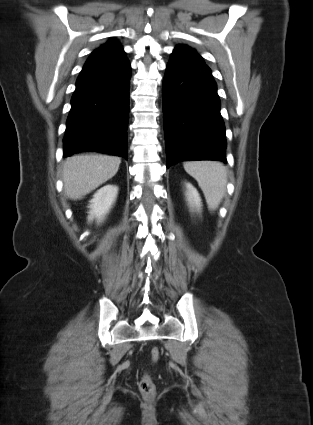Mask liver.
Segmentation results:
<instances>
[{
  "label": "liver",
  "mask_w": 313,
  "mask_h": 425,
  "mask_svg": "<svg viewBox=\"0 0 313 425\" xmlns=\"http://www.w3.org/2000/svg\"><path fill=\"white\" fill-rule=\"evenodd\" d=\"M121 159L115 156L86 154L67 158L63 166L64 190L68 198L80 200L111 179Z\"/></svg>",
  "instance_id": "6515ba94"
}]
</instances>
